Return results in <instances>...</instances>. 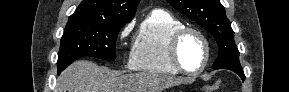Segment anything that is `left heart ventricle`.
Returning a JSON list of instances; mask_svg holds the SVG:
<instances>
[{"instance_id": "left-heart-ventricle-1", "label": "left heart ventricle", "mask_w": 289, "mask_h": 92, "mask_svg": "<svg viewBox=\"0 0 289 92\" xmlns=\"http://www.w3.org/2000/svg\"><path fill=\"white\" fill-rule=\"evenodd\" d=\"M179 56L183 66L190 71L197 70L204 60V45L194 34H188L181 42Z\"/></svg>"}]
</instances>
